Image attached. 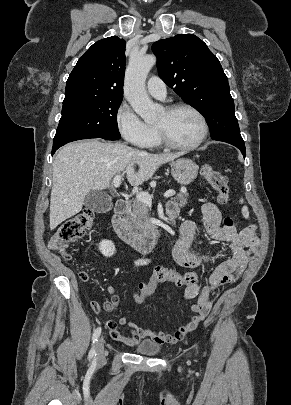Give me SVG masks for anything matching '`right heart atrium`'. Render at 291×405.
I'll list each match as a JSON object with an SVG mask.
<instances>
[{"label": "right heart atrium", "instance_id": "obj_1", "mask_svg": "<svg viewBox=\"0 0 291 405\" xmlns=\"http://www.w3.org/2000/svg\"><path fill=\"white\" fill-rule=\"evenodd\" d=\"M116 125L126 141L139 147H148L156 133L155 129L143 122L126 103H122L117 109Z\"/></svg>", "mask_w": 291, "mask_h": 405}]
</instances>
